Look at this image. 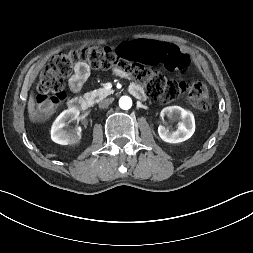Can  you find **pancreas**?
<instances>
[{
	"label": "pancreas",
	"instance_id": "obj_1",
	"mask_svg": "<svg viewBox=\"0 0 253 253\" xmlns=\"http://www.w3.org/2000/svg\"><path fill=\"white\" fill-rule=\"evenodd\" d=\"M113 92V90H106L105 88H99L97 90L91 91L86 94L87 97H90L95 102L107 97Z\"/></svg>",
	"mask_w": 253,
	"mask_h": 253
}]
</instances>
